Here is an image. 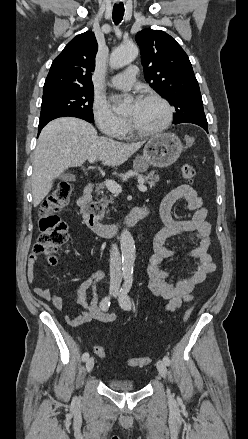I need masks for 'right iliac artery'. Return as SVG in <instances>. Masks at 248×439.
<instances>
[{
  "instance_id": "obj_1",
  "label": "right iliac artery",
  "mask_w": 248,
  "mask_h": 439,
  "mask_svg": "<svg viewBox=\"0 0 248 439\" xmlns=\"http://www.w3.org/2000/svg\"><path fill=\"white\" fill-rule=\"evenodd\" d=\"M109 306H110V297L107 296V297L103 298L102 301L100 302V308L102 311H107ZM88 358H89V353L85 352L82 355V361H86Z\"/></svg>"
}]
</instances>
